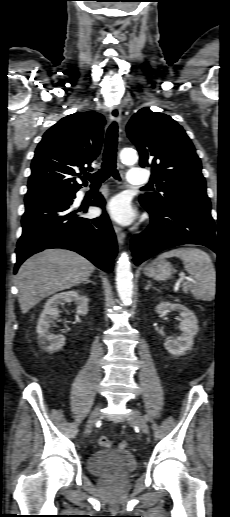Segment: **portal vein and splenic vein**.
<instances>
[{
	"label": "portal vein and splenic vein",
	"mask_w": 230,
	"mask_h": 517,
	"mask_svg": "<svg viewBox=\"0 0 230 517\" xmlns=\"http://www.w3.org/2000/svg\"><path fill=\"white\" fill-rule=\"evenodd\" d=\"M184 280L191 281V282L193 281V279H192V278H190V277H186L185 275H183V274H182V275H180V278H179V281H178V285H179L180 283L184 282Z\"/></svg>",
	"instance_id": "portal-vein-and-splenic-vein-1"
}]
</instances>
